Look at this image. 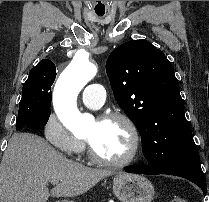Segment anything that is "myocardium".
<instances>
[{
	"label": "myocardium",
	"mask_w": 209,
	"mask_h": 202,
	"mask_svg": "<svg viewBox=\"0 0 209 202\" xmlns=\"http://www.w3.org/2000/svg\"><path fill=\"white\" fill-rule=\"evenodd\" d=\"M98 121L100 123L109 122V121H120L123 124H125L129 129L132 137V148L128 156H126L121 160L113 161L101 156L95 149L92 142L86 138L85 142L87 144L88 155L90 159L101 166L114 168V169H121L132 164L138 158L141 151V137L139 130L136 124L134 123V121L126 114L120 112L103 114L98 118Z\"/></svg>",
	"instance_id": "1"
}]
</instances>
